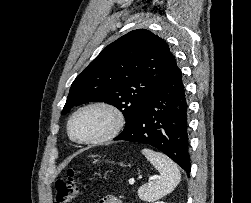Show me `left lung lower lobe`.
<instances>
[{
  "label": "left lung lower lobe",
  "mask_w": 251,
  "mask_h": 203,
  "mask_svg": "<svg viewBox=\"0 0 251 203\" xmlns=\"http://www.w3.org/2000/svg\"><path fill=\"white\" fill-rule=\"evenodd\" d=\"M114 140L154 146L190 173L188 103L174 57L133 124Z\"/></svg>",
  "instance_id": "0a47b994"
}]
</instances>
